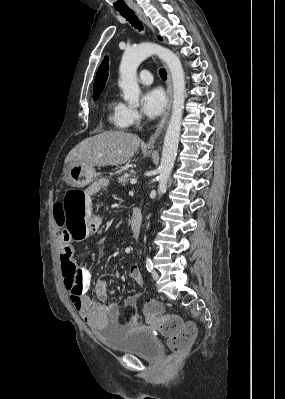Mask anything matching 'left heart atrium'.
<instances>
[{
	"label": "left heart atrium",
	"mask_w": 285,
	"mask_h": 399,
	"mask_svg": "<svg viewBox=\"0 0 285 399\" xmlns=\"http://www.w3.org/2000/svg\"><path fill=\"white\" fill-rule=\"evenodd\" d=\"M166 104V96L159 88L149 89L142 96V110L151 118L161 115L166 107Z\"/></svg>",
	"instance_id": "left-heart-atrium-1"
}]
</instances>
